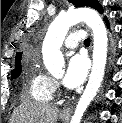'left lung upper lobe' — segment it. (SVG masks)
Segmentation results:
<instances>
[{
    "mask_svg": "<svg viewBox=\"0 0 122 123\" xmlns=\"http://www.w3.org/2000/svg\"><path fill=\"white\" fill-rule=\"evenodd\" d=\"M70 2L76 7L89 6L99 11V13L103 12V8L97 0H70Z\"/></svg>",
    "mask_w": 122,
    "mask_h": 123,
    "instance_id": "obj_1",
    "label": "left lung upper lobe"
}]
</instances>
